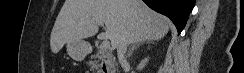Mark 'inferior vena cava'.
Returning a JSON list of instances; mask_svg holds the SVG:
<instances>
[{
  "label": "inferior vena cava",
  "instance_id": "1",
  "mask_svg": "<svg viewBox=\"0 0 244 73\" xmlns=\"http://www.w3.org/2000/svg\"><path fill=\"white\" fill-rule=\"evenodd\" d=\"M127 45H128V41L126 40V38H123L117 47V55H118V59H119V62L121 63V65H124L127 63L126 59H125Z\"/></svg>",
  "mask_w": 244,
  "mask_h": 73
}]
</instances>
